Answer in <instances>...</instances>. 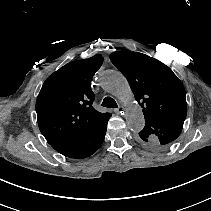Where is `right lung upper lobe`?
Listing matches in <instances>:
<instances>
[{
	"label": "right lung upper lobe",
	"mask_w": 211,
	"mask_h": 211,
	"mask_svg": "<svg viewBox=\"0 0 211 211\" xmlns=\"http://www.w3.org/2000/svg\"><path fill=\"white\" fill-rule=\"evenodd\" d=\"M103 63L97 54L73 61L44 82L36 101L38 125L49 144L89 130L110 113L92 107L91 79Z\"/></svg>",
	"instance_id": "cb5924a9"
}]
</instances>
